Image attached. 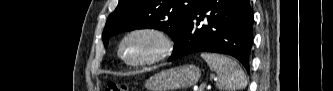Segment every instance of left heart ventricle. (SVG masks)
Listing matches in <instances>:
<instances>
[{"label": "left heart ventricle", "instance_id": "1", "mask_svg": "<svg viewBox=\"0 0 333 91\" xmlns=\"http://www.w3.org/2000/svg\"><path fill=\"white\" fill-rule=\"evenodd\" d=\"M156 43L146 36H135L129 39L124 46V55L128 60L135 61L153 55Z\"/></svg>", "mask_w": 333, "mask_h": 91}]
</instances>
